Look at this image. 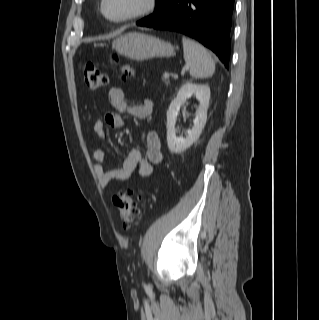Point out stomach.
I'll return each mask as SVG.
<instances>
[{
  "instance_id": "0dacf381",
  "label": "stomach",
  "mask_w": 319,
  "mask_h": 320,
  "mask_svg": "<svg viewBox=\"0 0 319 320\" xmlns=\"http://www.w3.org/2000/svg\"><path fill=\"white\" fill-rule=\"evenodd\" d=\"M112 49L124 57L137 61L155 57H171L175 54L171 43L139 32L118 35L112 42Z\"/></svg>"
}]
</instances>
